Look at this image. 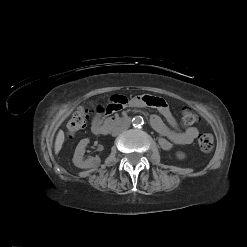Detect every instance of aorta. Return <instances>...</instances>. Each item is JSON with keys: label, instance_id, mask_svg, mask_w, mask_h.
<instances>
[{"label": "aorta", "instance_id": "obj_1", "mask_svg": "<svg viewBox=\"0 0 247 247\" xmlns=\"http://www.w3.org/2000/svg\"><path fill=\"white\" fill-rule=\"evenodd\" d=\"M132 123H133V126L134 127H141L144 124L143 117H141V116H135L132 119Z\"/></svg>", "mask_w": 247, "mask_h": 247}]
</instances>
